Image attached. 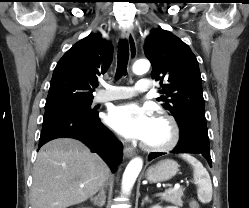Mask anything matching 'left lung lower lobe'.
<instances>
[{
	"label": "left lung lower lobe",
	"instance_id": "1",
	"mask_svg": "<svg viewBox=\"0 0 249 208\" xmlns=\"http://www.w3.org/2000/svg\"><path fill=\"white\" fill-rule=\"evenodd\" d=\"M180 128V139L172 153H200L209 165L212 166L210 156L209 137L206 125V119L190 116L178 123ZM163 153H151L149 160L159 157Z\"/></svg>",
	"mask_w": 249,
	"mask_h": 208
}]
</instances>
